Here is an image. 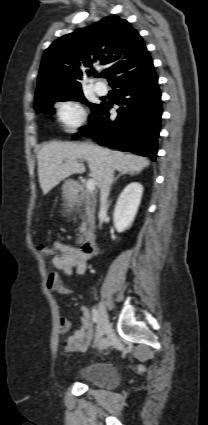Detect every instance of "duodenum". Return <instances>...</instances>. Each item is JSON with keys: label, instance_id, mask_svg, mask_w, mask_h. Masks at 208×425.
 <instances>
[{"label": "duodenum", "instance_id": "duodenum-1", "mask_svg": "<svg viewBox=\"0 0 208 425\" xmlns=\"http://www.w3.org/2000/svg\"><path fill=\"white\" fill-rule=\"evenodd\" d=\"M73 189L77 195H81L83 193V188L79 184H75ZM82 251L87 255H93L97 252L96 239L93 234H88L84 237L82 241Z\"/></svg>", "mask_w": 208, "mask_h": 425}]
</instances>
